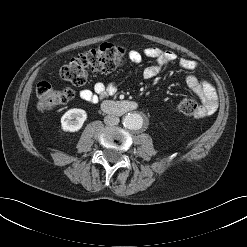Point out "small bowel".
<instances>
[{"mask_svg":"<svg viewBox=\"0 0 247 247\" xmlns=\"http://www.w3.org/2000/svg\"><path fill=\"white\" fill-rule=\"evenodd\" d=\"M143 55L149 58H154L155 62L145 66L142 69V77L151 79L157 76L164 67L177 62L181 69L194 71L197 68V63L193 60L181 58L172 51L162 50L160 48L151 47L143 51ZM129 59L135 65H139L142 60V54L132 50L129 52ZM188 87L200 98L202 104L199 107L196 117L204 118L213 114L217 109V92L214 86L206 80L200 79L195 74H189L186 77ZM118 91V87L113 84L97 82L93 89H82L79 92V97L86 102L96 103L104 98L114 96Z\"/></svg>","mask_w":247,"mask_h":247,"instance_id":"1","label":"small bowel"}]
</instances>
